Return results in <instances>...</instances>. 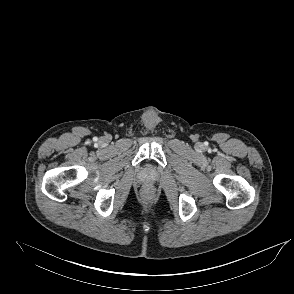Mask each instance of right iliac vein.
I'll return each mask as SVG.
<instances>
[{
    "mask_svg": "<svg viewBox=\"0 0 294 294\" xmlns=\"http://www.w3.org/2000/svg\"><path fill=\"white\" fill-rule=\"evenodd\" d=\"M100 143L101 144H105L106 143V139L105 138L100 139Z\"/></svg>",
    "mask_w": 294,
    "mask_h": 294,
    "instance_id": "1",
    "label": "right iliac vein"
}]
</instances>
